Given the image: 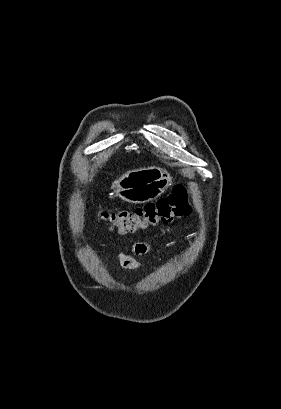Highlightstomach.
Masks as SVG:
<instances>
[{"instance_id":"1","label":"stomach","mask_w":281,"mask_h":409,"mask_svg":"<svg viewBox=\"0 0 281 409\" xmlns=\"http://www.w3.org/2000/svg\"><path fill=\"white\" fill-rule=\"evenodd\" d=\"M173 176L168 170L160 166H148L128 170L117 180H113V188L116 196L127 202H148L161 196L168 186H171Z\"/></svg>"}]
</instances>
